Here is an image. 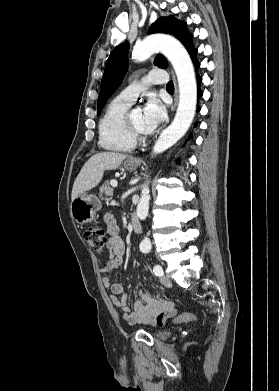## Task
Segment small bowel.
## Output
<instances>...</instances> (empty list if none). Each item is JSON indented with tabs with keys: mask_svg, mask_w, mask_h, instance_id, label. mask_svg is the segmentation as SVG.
I'll return each mask as SVG.
<instances>
[{
	"mask_svg": "<svg viewBox=\"0 0 279 391\" xmlns=\"http://www.w3.org/2000/svg\"><path fill=\"white\" fill-rule=\"evenodd\" d=\"M104 220L106 222L107 247L110 252V259L101 269V272L107 273L122 268L125 245L119 235V228L113 215L106 213ZM103 284L111 290L112 303L121 310L123 319L129 325L162 326L176 314L174 304L171 301L151 295L142 288L137 290L138 299L132 302L122 283H112L109 277H104ZM117 295L122 296L118 298Z\"/></svg>",
	"mask_w": 279,
	"mask_h": 391,
	"instance_id": "small-bowel-1",
	"label": "small bowel"
}]
</instances>
